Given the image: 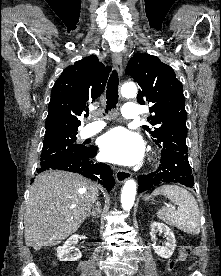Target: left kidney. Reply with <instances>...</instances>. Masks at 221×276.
I'll list each match as a JSON object with an SVG mask.
<instances>
[{
  "instance_id": "1",
  "label": "left kidney",
  "mask_w": 221,
  "mask_h": 276,
  "mask_svg": "<svg viewBox=\"0 0 221 276\" xmlns=\"http://www.w3.org/2000/svg\"><path fill=\"white\" fill-rule=\"evenodd\" d=\"M162 233L164 232L166 235L167 243L165 246H154L153 249L157 255H159L162 258H170L175 250L176 247V240L174 233L171 231V229L163 224V223H158V222H152L150 225V236L151 240L156 239V234L157 233Z\"/></svg>"
}]
</instances>
